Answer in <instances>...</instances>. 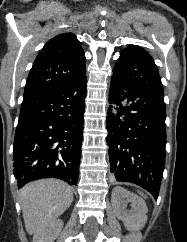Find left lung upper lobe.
I'll return each instance as SVG.
<instances>
[{
  "instance_id": "left-lung-upper-lobe-1",
  "label": "left lung upper lobe",
  "mask_w": 187,
  "mask_h": 242,
  "mask_svg": "<svg viewBox=\"0 0 187 242\" xmlns=\"http://www.w3.org/2000/svg\"><path fill=\"white\" fill-rule=\"evenodd\" d=\"M113 75L149 94L164 99L163 85L157 66L143 48L130 45L121 51Z\"/></svg>"
}]
</instances>
